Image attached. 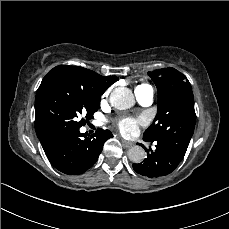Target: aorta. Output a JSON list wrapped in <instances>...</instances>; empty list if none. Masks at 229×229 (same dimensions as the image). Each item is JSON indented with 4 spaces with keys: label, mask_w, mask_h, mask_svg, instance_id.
I'll use <instances>...</instances> for the list:
<instances>
[{
    "label": "aorta",
    "mask_w": 229,
    "mask_h": 229,
    "mask_svg": "<svg viewBox=\"0 0 229 229\" xmlns=\"http://www.w3.org/2000/svg\"><path fill=\"white\" fill-rule=\"evenodd\" d=\"M111 106L118 110L131 108L135 104V98L132 91L127 87H117L110 95ZM146 156L145 150L138 145L131 147L128 150V158L133 163L143 162Z\"/></svg>",
    "instance_id": "aorta-1"
}]
</instances>
